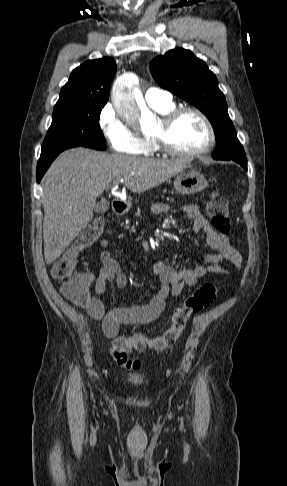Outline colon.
<instances>
[{"label":"colon","instance_id":"5ec220e1","mask_svg":"<svg viewBox=\"0 0 287 486\" xmlns=\"http://www.w3.org/2000/svg\"><path fill=\"white\" fill-rule=\"evenodd\" d=\"M207 212L215 232L227 235L231 231L226 199L218 192H213ZM104 222L101 218L94 219L79 235L73 246L68 249L52 268L53 278L62 281L61 293L72 303L86 306L90 299V285L92 277L86 272L75 270L79 251L90 246L101 235ZM217 297V287L206 283L189 294L183 303L177 307L170 318L169 325L157 336L149 338L142 334L116 337L111 345V356L121 367L138 369L140 361L130 357L131 351L164 350L172 347L184 331L190 317L208 308Z\"/></svg>","mask_w":287,"mask_h":486}]
</instances>
